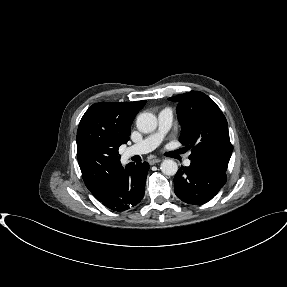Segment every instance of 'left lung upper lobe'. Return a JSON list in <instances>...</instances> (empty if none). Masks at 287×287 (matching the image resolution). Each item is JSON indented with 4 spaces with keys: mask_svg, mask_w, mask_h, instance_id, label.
<instances>
[{
    "mask_svg": "<svg viewBox=\"0 0 287 287\" xmlns=\"http://www.w3.org/2000/svg\"><path fill=\"white\" fill-rule=\"evenodd\" d=\"M177 102L180 142L191 149L190 160H209L228 166L233 146L225 116L216 103L199 91L169 98Z\"/></svg>",
    "mask_w": 287,
    "mask_h": 287,
    "instance_id": "left-lung-upper-lobe-1",
    "label": "left lung upper lobe"
}]
</instances>
